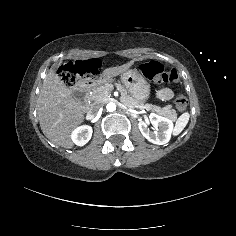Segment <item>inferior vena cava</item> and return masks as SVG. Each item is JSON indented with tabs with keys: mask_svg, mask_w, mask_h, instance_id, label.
<instances>
[{
	"mask_svg": "<svg viewBox=\"0 0 236 236\" xmlns=\"http://www.w3.org/2000/svg\"><path fill=\"white\" fill-rule=\"evenodd\" d=\"M101 107H102V104H94L90 109V113L94 116L97 115Z\"/></svg>",
	"mask_w": 236,
	"mask_h": 236,
	"instance_id": "obj_1",
	"label": "inferior vena cava"
}]
</instances>
